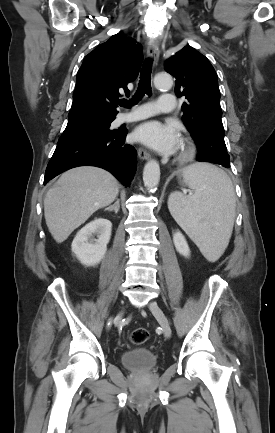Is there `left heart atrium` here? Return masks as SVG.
Segmentation results:
<instances>
[{
  "instance_id": "left-heart-atrium-1",
  "label": "left heart atrium",
  "mask_w": 275,
  "mask_h": 433,
  "mask_svg": "<svg viewBox=\"0 0 275 433\" xmlns=\"http://www.w3.org/2000/svg\"><path fill=\"white\" fill-rule=\"evenodd\" d=\"M135 140L165 154H170L179 145V134L172 124L151 120L139 125L134 132Z\"/></svg>"
}]
</instances>
